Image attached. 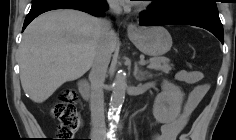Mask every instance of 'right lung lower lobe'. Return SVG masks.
<instances>
[{"label": "right lung lower lobe", "mask_w": 236, "mask_h": 140, "mask_svg": "<svg viewBox=\"0 0 236 140\" xmlns=\"http://www.w3.org/2000/svg\"><path fill=\"white\" fill-rule=\"evenodd\" d=\"M101 4L95 5L87 0H40L32 4L31 10L25 18L23 30L38 15L54 9H77L90 13L94 16L102 15L108 6L104 0Z\"/></svg>", "instance_id": "1"}]
</instances>
